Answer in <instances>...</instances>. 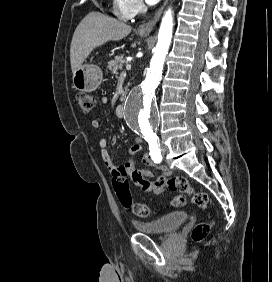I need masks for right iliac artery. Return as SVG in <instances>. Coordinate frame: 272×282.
<instances>
[{
    "label": "right iliac artery",
    "mask_w": 272,
    "mask_h": 282,
    "mask_svg": "<svg viewBox=\"0 0 272 282\" xmlns=\"http://www.w3.org/2000/svg\"><path fill=\"white\" fill-rule=\"evenodd\" d=\"M159 146L160 144L157 141L149 142L150 155L155 163H160L162 161V155Z\"/></svg>",
    "instance_id": "82829eb1"
}]
</instances>
